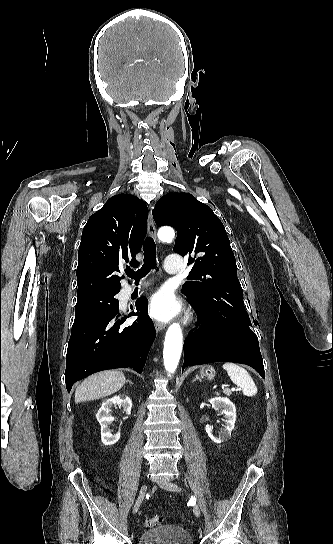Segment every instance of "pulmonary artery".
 Masks as SVG:
<instances>
[{"label": "pulmonary artery", "instance_id": "obj_1", "mask_svg": "<svg viewBox=\"0 0 333 544\" xmlns=\"http://www.w3.org/2000/svg\"><path fill=\"white\" fill-rule=\"evenodd\" d=\"M183 262L182 258L178 255H170L165 260V269L170 274H177L182 271ZM134 289L129 288V292H132Z\"/></svg>", "mask_w": 333, "mask_h": 544}]
</instances>
